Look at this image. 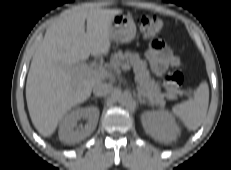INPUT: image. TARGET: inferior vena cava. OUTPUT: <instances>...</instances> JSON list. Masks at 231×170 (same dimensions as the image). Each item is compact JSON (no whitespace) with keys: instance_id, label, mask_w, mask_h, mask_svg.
Segmentation results:
<instances>
[{"instance_id":"obj_1","label":"inferior vena cava","mask_w":231,"mask_h":170,"mask_svg":"<svg viewBox=\"0 0 231 170\" xmlns=\"http://www.w3.org/2000/svg\"><path fill=\"white\" fill-rule=\"evenodd\" d=\"M112 88L111 84L98 82L93 87V93L95 96H105L112 91Z\"/></svg>"}]
</instances>
